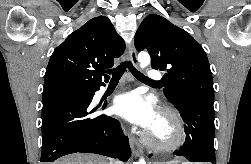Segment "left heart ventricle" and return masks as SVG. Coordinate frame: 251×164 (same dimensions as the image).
<instances>
[{"label":"left heart ventricle","mask_w":251,"mask_h":164,"mask_svg":"<svg viewBox=\"0 0 251 164\" xmlns=\"http://www.w3.org/2000/svg\"><path fill=\"white\" fill-rule=\"evenodd\" d=\"M155 138L157 140H166L170 135V130L168 125L161 119H158L155 127L152 130Z\"/></svg>","instance_id":"b2bd125f"}]
</instances>
